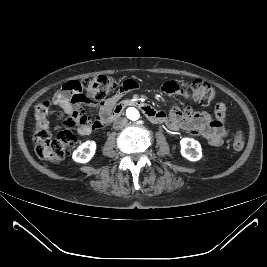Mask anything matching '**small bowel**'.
Returning <instances> with one entry per match:
<instances>
[{
    "label": "small bowel",
    "instance_id": "1",
    "mask_svg": "<svg viewBox=\"0 0 267 267\" xmlns=\"http://www.w3.org/2000/svg\"><path fill=\"white\" fill-rule=\"evenodd\" d=\"M138 87L139 83L136 80H125L111 98L99 105V113L94 121L86 114L85 108L95 105L82 94L78 81H69L63 84L61 89L55 93L54 102L61 107L67 116L82 121L78 127V133L86 136L105 124L110 110L124 93ZM161 91L167 96L180 95L188 100L192 99L188 88L173 80L166 81L162 85ZM225 117L226 107L223 103H217L212 114L206 111L195 112L190 107L180 109L173 106L168 115L165 116V123L172 131L185 130L205 139L213 146H220L228 134Z\"/></svg>",
    "mask_w": 267,
    "mask_h": 267
}]
</instances>
